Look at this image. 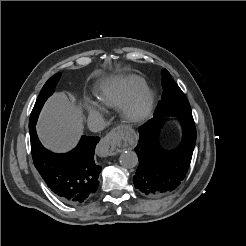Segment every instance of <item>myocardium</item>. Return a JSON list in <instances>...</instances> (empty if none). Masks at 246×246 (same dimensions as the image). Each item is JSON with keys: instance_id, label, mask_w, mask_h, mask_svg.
Returning <instances> with one entry per match:
<instances>
[{"instance_id": "myocardium-1", "label": "myocardium", "mask_w": 246, "mask_h": 246, "mask_svg": "<svg viewBox=\"0 0 246 246\" xmlns=\"http://www.w3.org/2000/svg\"><path fill=\"white\" fill-rule=\"evenodd\" d=\"M155 103L153 91L144 88L131 96L121 108L123 120L130 124H141L151 115Z\"/></svg>"}]
</instances>
